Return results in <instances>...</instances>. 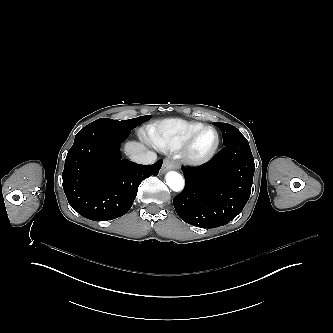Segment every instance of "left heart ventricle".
Masks as SVG:
<instances>
[{"label":"left heart ventricle","instance_id":"1","mask_svg":"<svg viewBox=\"0 0 333 333\" xmlns=\"http://www.w3.org/2000/svg\"><path fill=\"white\" fill-rule=\"evenodd\" d=\"M216 143V135L212 129L202 130L192 143V153L197 156L207 154Z\"/></svg>","mask_w":333,"mask_h":333}]
</instances>
